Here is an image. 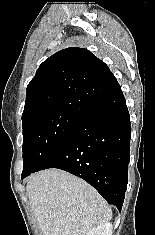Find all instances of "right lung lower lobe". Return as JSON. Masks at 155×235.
Returning a JSON list of instances; mask_svg holds the SVG:
<instances>
[{
  "instance_id": "right-lung-lower-lobe-1",
  "label": "right lung lower lobe",
  "mask_w": 155,
  "mask_h": 235,
  "mask_svg": "<svg viewBox=\"0 0 155 235\" xmlns=\"http://www.w3.org/2000/svg\"><path fill=\"white\" fill-rule=\"evenodd\" d=\"M85 94L95 118L87 120L38 168L22 173L21 178L47 168L65 170L87 181L120 211L130 157L131 124L126 101L115 79L89 87Z\"/></svg>"
}]
</instances>
